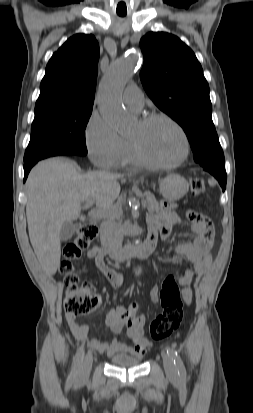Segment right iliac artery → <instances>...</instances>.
<instances>
[{"label": "right iliac artery", "mask_w": 253, "mask_h": 413, "mask_svg": "<svg viewBox=\"0 0 253 413\" xmlns=\"http://www.w3.org/2000/svg\"><path fill=\"white\" fill-rule=\"evenodd\" d=\"M83 358H84V348L82 346L78 352L77 359L74 362L72 371L69 376V381H72L75 378V376L78 374L81 368L82 362H83Z\"/></svg>", "instance_id": "obj_1"}]
</instances>
